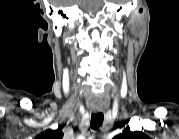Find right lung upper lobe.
Masks as SVG:
<instances>
[{"instance_id": "right-lung-upper-lobe-1", "label": "right lung upper lobe", "mask_w": 179, "mask_h": 139, "mask_svg": "<svg viewBox=\"0 0 179 139\" xmlns=\"http://www.w3.org/2000/svg\"><path fill=\"white\" fill-rule=\"evenodd\" d=\"M63 133L61 128H58L57 130H47L40 135H38L37 139H62Z\"/></svg>"}]
</instances>
